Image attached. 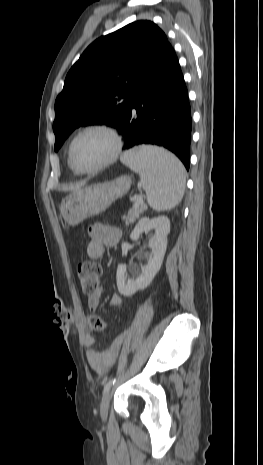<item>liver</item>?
Returning <instances> with one entry per match:
<instances>
[{"label":"liver","mask_w":263,"mask_h":465,"mask_svg":"<svg viewBox=\"0 0 263 465\" xmlns=\"http://www.w3.org/2000/svg\"><path fill=\"white\" fill-rule=\"evenodd\" d=\"M85 185L84 182L82 183H78V184H75V185H71V186H67V187H64L62 190L63 191H78L80 190L83 186Z\"/></svg>","instance_id":"liver-1"}]
</instances>
